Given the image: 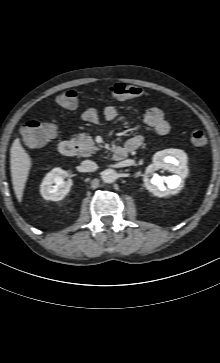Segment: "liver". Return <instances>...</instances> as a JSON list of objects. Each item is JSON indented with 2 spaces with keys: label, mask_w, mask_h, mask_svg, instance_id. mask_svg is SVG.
<instances>
[{
  "label": "liver",
  "mask_w": 220,
  "mask_h": 363,
  "mask_svg": "<svg viewBox=\"0 0 220 363\" xmlns=\"http://www.w3.org/2000/svg\"><path fill=\"white\" fill-rule=\"evenodd\" d=\"M31 165L32 162L29 154L21 145L20 138H16L10 149V168L13 189L19 202H22Z\"/></svg>",
  "instance_id": "6515ba94"
}]
</instances>
